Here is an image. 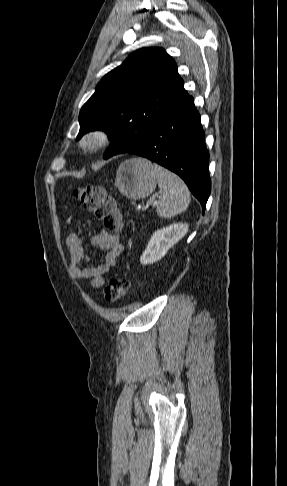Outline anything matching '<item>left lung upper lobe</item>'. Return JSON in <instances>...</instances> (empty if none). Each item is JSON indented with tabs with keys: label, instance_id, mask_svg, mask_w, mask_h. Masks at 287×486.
I'll return each instance as SVG.
<instances>
[{
	"label": "left lung upper lobe",
	"instance_id": "5c2ea615",
	"mask_svg": "<svg viewBox=\"0 0 287 486\" xmlns=\"http://www.w3.org/2000/svg\"><path fill=\"white\" fill-rule=\"evenodd\" d=\"M177 65L162 48H143L106 74L79 114L77 139L105 131L104 159L138 147L186 92Z\"/></svg>",
	"mask_w": 287,
	"mask_h": 486
}]
</instances>
